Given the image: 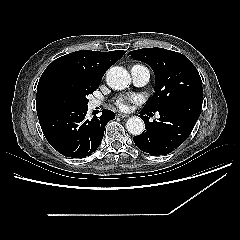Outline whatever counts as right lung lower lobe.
Masks as SVG:
<instances>
[{
    "label": "right lung lower lobe",
    "mask_w": 240,
    "mask_h": 240,
    "mask_svg": "<svg viewBox=\"0 0 240 240\" xmlns=\"http://www.w3.org/2000/svg\"><path fill=\"white\" fill-rule=\"evenodd\" d=\"M88 107H59L39 118L41 129L49 144L60 154L83 158L99 147L106 124L115 118L109 110L101 117L86 119Z\"/></svg>",
    "instance_id": "obj_1"
}]
</instances>
